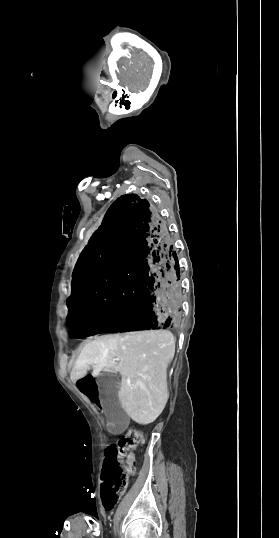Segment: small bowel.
<instances>
[{"instance_id":"c3829d8e","label":"small bowel","mask_w":279,"mask_h":538,"mask_svg":"<svg viewBox=\"0 0 279 538\" xmlns=\"http://www.w3.org/2000/svg\"><path fill=\"white\" fill-rule=\"evenodd\" d=\"M126 468L132 469V473H134L135 469V456L133 454H129L126 459Z\"/></svg>"}]
</instances>
